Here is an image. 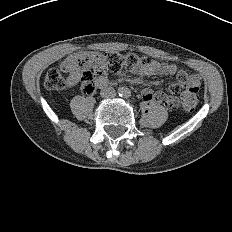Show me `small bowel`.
I'll use <instances>...</instances> for the list:
<instances>
[{
	"mask_svg": "<svg viewBox=\"0 0 232 232\" xmlns=\"http://www.w3.org/2000/svg\"><path fill=\"white\" fill-rule=\"evenodd\" d=\"M64 69L68 72V85L73 86L77 84L80 80V71L74 57L68 58L64 62ZM135 73L141 76H151V75H177V83L184 80L190 87H195L199 89L200 77L198 74L188 73L184 70H179L175 64L171 63H161L157 60H150L149 64L133 70ZM108 83L106 76H101L97 85L99 87H105ZM158 93H154L151 89H144L142 91V97L145 101L155 100V96Z\"/></svg>",
	"mask_w": 232,
	"mask_h": 232,
	"instance_id": "1",
	"label": "small bowel"
}]
</instances>
